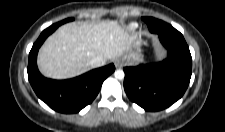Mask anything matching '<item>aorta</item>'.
Wrapping results in <instances>:
<instances>
[{
	"mask_svg": "<svg viewBox=\"0 0 225 132\" xmlns=\"http://www.w3.org/2000/svg\"><path fill=\"white\" fill-rule=\"evenodd\" d=\"M114 76H115L116 79L122 80V79H124L125 73H124L123 70L118 69V70H116V71L114 72Z\"/></svg>",
	"mask_w": 225,
	"mask_h": 132,
	"instance_id": "1",
	"label": "aorta"
}]
</instances>
